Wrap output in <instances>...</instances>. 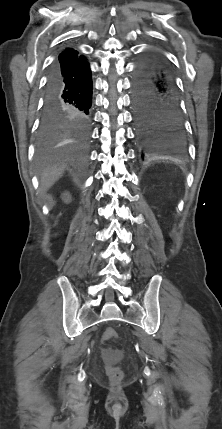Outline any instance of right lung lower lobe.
Wrapping results in <instances>:
<instances>
[{"label": "right lung lower lobe", "mask_w": 222, "mask_h": 429, "mask_svg": "<svg viewBox=\"0 0 222 429\" xmlns=\"http://www.w3.org/2000/svg\"><path fill=\"white\" fill-rule=\"evenodd\" d=\"M92 101V78L84 56L67 48L49 70L41 126L86 132Z\"/></svg>", "instance_id": "1"}]
</instances>
